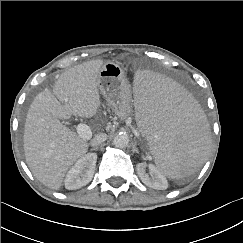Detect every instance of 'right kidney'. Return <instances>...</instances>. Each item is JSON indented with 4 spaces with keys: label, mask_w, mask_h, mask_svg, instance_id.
<instances>
[{
    "label": "right kidney",
    "mask_w": 243,
    "mask_h": 243,
    "mask_svg": "<svg viewBox=\"0 0 243 243\" xmlns=\"http://www.w3.org/2000/svg\"><path fill=\"white\" fill-rule=\"evenodd\" d=\"M97 155L88 153L81 157L68 171L65 178V188L68 190L79 189L87 185L93 177Z\"/></svg>",
    "instance_id": "ca27d5eb"
}]
</instances>
